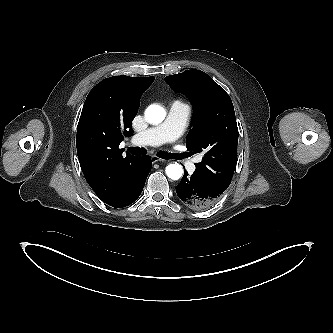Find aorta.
<instances>
[{"label": "aorta", "mask_w": 333, "mask_h": 333, "mask_svg": "<svg viewBox=\"0 0 333 333\" xmlns=\"http://www.w3.org/2000/svg\"><path fill=\"white\" fill-rule=\"evenodd\" d=\"M166 116V111L163 107L152 104L147 107L145 110V117L146 119L152 124H159L161 123ZM166 174L172 180H178L183 175V167L178 164H169L166 167Z\"/></svg>", "instance_id": "aorta-1"}]
</instances>
